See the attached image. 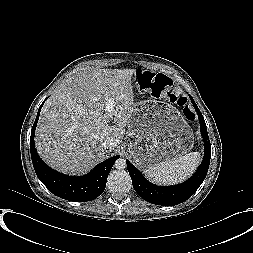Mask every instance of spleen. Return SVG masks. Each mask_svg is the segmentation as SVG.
I'll use <instances>...</instances> for the list:
<instances>
[{"instance_id":"3e777b00","label":"spleen","mask_w":253,"mask_h":253,"mask_svg":"<svg viewBox=\"0 0 253 253\" xmlns=\"http://www.w3.org/2000/svg\"><path fill=\"white\" fill-rule=\"evenodd\" d=\"M199 152H190L177 159L164 161L145 169L146 176L158 184H174L189 177L200 164Z\"/></svg>"}]
</instances>
